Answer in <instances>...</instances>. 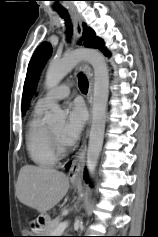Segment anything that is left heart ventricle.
Instances as JSON below:
<instances>
[{
	"instance_id": "b2bd125f",
	"label": "left heart ventricle",
	"mask_w": 158,
	"mask_h": 237,
	"mask_svg": "<svg viewBox=\"0 0 158 237\" xmlns=\"http://www.w3.org/2000/svg\"><path fill=\"white\" fill-rule=\"evenodd\" d=\"M63 130V126H58V127H54L51 129V131L53 132V134L56 136V138L61 142L60 140V134ZM62 143V142H61Z\"/></svg>"
}]
</instances>
